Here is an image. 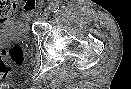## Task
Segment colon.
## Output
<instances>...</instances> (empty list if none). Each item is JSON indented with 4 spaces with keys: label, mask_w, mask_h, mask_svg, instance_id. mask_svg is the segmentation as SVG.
<instances>
[{
    "label": "colon",
    "mask_w": 131,
    "mask_h": 89,
    "mask_svg": "<svg viewBox=\"0 0 131 89\" xmlns=\"http://www.w3.org/2000/svg\"><path fill=\"white\" fill-rule=\"evenodd\" d=\"M24 60V49L20 44H14L8 49L0 50V79L16 76L18 67Z\"/></svg>",
    "instance_id": "1"
}]
</instances>
